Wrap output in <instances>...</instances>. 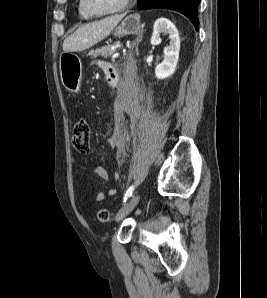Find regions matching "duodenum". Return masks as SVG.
<instances>
[{"mask_svg":"<svg viewBox=\"0 0 267 298\" xmlns=\"http://www.w3.org/2000/svg\"><path fill=\"white\" fill-rule=\"evenodd\" d=\"M108 83L113 88L120 86V77L117 69L113 66L106 74Z\"/></svg>","mask_w":267,"mask_h":298,"instance_id":"1","label":"duodenum"}]
</instances>
